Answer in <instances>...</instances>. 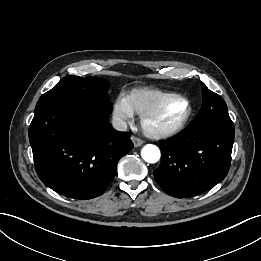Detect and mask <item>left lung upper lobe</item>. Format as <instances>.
Wrapping results in <instances>:
<instances>
[{"label": "left lung upper lobe", "mask_w": 261, "mask_h": 261, "mask_svg": "<svg viewBox=\"0 0 261 261\" xmlns=\"http://www.w3.org/2000/svg\"><path fill=\"white\" fill-rule=\"evenodd\" d=\"M201 86L203 94L202 107L196 118L188 127L232 122L223 98L209 90L202 82Z\"/></svg>", "instance_id": "obj_1"}]
</instances>
